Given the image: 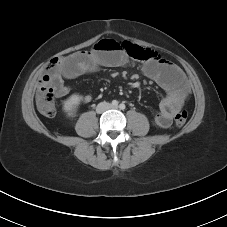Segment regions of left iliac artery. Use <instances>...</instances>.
Wrapping results in <instances>:
<instances>
[{
	"mask_svg": "<svg viewBox=\"0 0 227 227\" xmlns=\"http://www.w3.org/2000/svg\"><path fill=\"white\" fill-rule=\"evenodd\" d=\"M119 108H120L121 110H124V109L126 108V106H125V104L121 103V104L119 105Z\"/></svg>",
	"mask_w": 227,
	"mask_h": 227,
	"instance_id": "1",
	"label": "left iliac artery"
}]
</instances>
